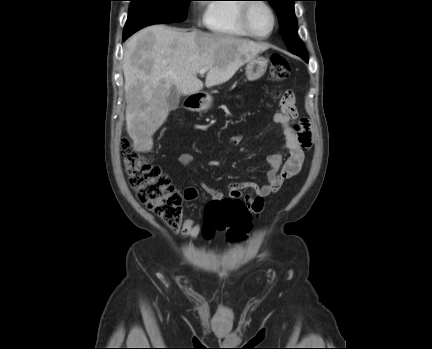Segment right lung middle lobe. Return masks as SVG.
<instances>
[{"instance_id":"1","label":"right lung middle lobe","mask_w":432,"mask_h":349,"mask_svg":"<svg viewBox=\"0 0 432 349\" xmlns=\"http://www.w3.org/2000/svg\"><path fill=\"white\" fill-rule=\"evenodd\" d=\"M124 34L131 35L152 24L181 22L186 19L192 0H130Z\"/></svg>"}]
</instances>
